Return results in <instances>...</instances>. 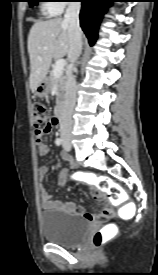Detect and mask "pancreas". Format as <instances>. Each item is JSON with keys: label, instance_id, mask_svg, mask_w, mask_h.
Wrapping results in <instances>:
<instances>
[{"label": "pancreas", "instance_id": "obj_1", "mask_svg": "<svg viewBox=\"0 0 158 275\" xmlns=\"http://www.w3.org/2000/svg\"><path fill=\"white\" fill-rule=\"evenodd\" d=\"M49 91H52L54 85L57 86V101L63 99L64 91L66 88V76L62 73L59 77L54 76L53 70L50 71V76L48 77Z\"/></svg>", "mask_w": 158, "mask_h": 275}]
</instances>
